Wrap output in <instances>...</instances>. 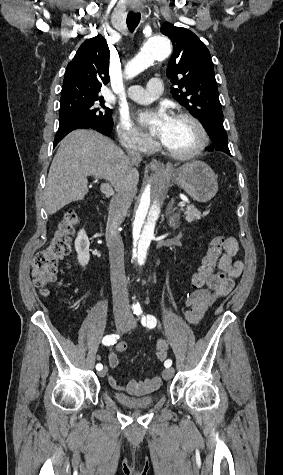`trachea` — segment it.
<instances>
[{
    "instance_id": "3493384b",
    "label": "trachea",
    "mask_w": 283,
    "mask_h": 475,
    "mask_svg": "<svg viewBox=\"0 0 283 475\" xmlns=\"http://www.w3.org/2000/svg\"><path fill=\"white\" fill-rule=\"evenodd\" d=\"M140 19H141L140 13H135V12L128 13L126 23L131 33H133L135 28L138 26Z\"/></svg>"
}]
</instances>
